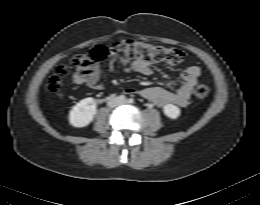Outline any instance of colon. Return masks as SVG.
<instances>
[{"mask_svg": "<svg viewBox=\"0 0 260 205\" xmlns=\"http://www.w3.org/2000/svg\"><path fill=\"white\" fill-rule=\"evenodd\" d=\"M112 50L122 55L124 59H142L145 61L164 62L177 66L184 61L185 54L178 48L149 44L140 40H120L112 45ZM107 48L95 46L85 53L75 56L70 65L60 66L47 81V90L55 93L59 90L62 80L73 74L74 77H87L93 74L99 62L105 57ZM210 88L205 83L195 86L194 94L203 99L208 96Z\"/></svg>", "mask_w": 260, "mask_h": 205, "instance_id": "1", "label": "colon"}]
</instances>
